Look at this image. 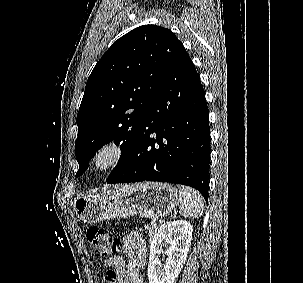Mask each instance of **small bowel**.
Listing matches in <instances>:
<instances>
[{"label":"small bowel","instance_id":"small-bowel-1","mask_svg":"<svg viewBox=\"0 0 303 283\" xmlns=\"http://www.w3.org/2000/svg\"><path fill=\"white\" fill-rule=\"evenodd\" d=\"M121 255L109 257L105 264L111 267L104 283H145L140 269L147 260V245L138 232H131L123 238Z\"/></svg>","mask_w":303,"mask_h":283}]
</instances>
